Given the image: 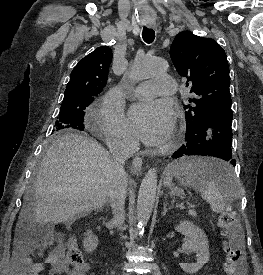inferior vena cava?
Segmentation results:
<instances>
[{"instance_id":"1","label":"inferior vena cava","mask_w":263,"mask_h":275,"mask_svg":"<svg viewBox=\"0 0 263 275\" xmlns=\"http://www.w3.org/2000/svg\"><path fill=\"white\" fill-rule=\"evenodd\" d=\"M109 149L112 156L109 192V202L113 213L112 222L121 227L125 219L124 205L127 190V174L124 170V163L136 151V142L131 136H121L114 140Z\"/></svg>"}]
</instances>
